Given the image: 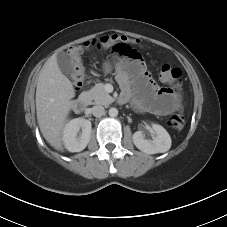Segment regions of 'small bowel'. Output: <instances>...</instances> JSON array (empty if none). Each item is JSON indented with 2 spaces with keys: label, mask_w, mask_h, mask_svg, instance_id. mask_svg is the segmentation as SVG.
<instances>
[{
  "label": "small bowel",
  "mask_w": 227,
  "mask_h": 227,
  "mask_svg": "<svg viewBox=\"0 0 227 227\" xmlns=\"http://www.w3.org/2000/svg\"><path fill=\"white\" fill-rule=\"evenodd\" d=\"M114 72L122 90L121 102L133 99L138 110L158 115H168L178 107V95L172 89L158 87L151 80L140 55L123 59L122 64L114 67Z\"/></svg>",
  "instance_id": "obj_1"
}]
</instances>
